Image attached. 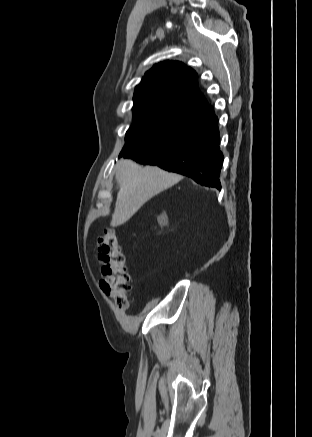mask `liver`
I'll use <instances>...</instances> for the list:
<instances>
[{
  "label": "liver",
  "instance_id": "obj_1",
  "mask_svg": "<svg viewBox=\"0 0 312 437\" xmlns=\"http://www.w3.org/2000/svg\"><path fill=\"white\" fill-rule=\"evenodd\" d=\"M119 191L111 225L126 223L150 198L177 184L182 176L155 166L142 167L122 159L115 166Z\"/></svg>",
  "mask_w": 312,
  "mask_h": 437
}]
</instances>
